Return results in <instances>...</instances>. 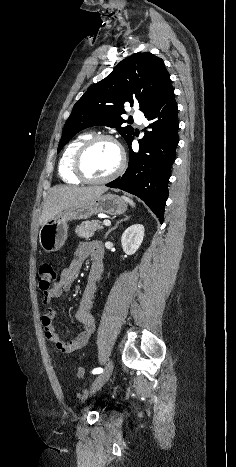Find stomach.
<instances>
[{"label": "stomach", "mask_w": 236, "mask_h": 467, "mask_svg": "<svg viewBox=\"0 0 236 467\" xmlns=\"http://www.w3.org/2000/svg\"><path fill=\"white\" fill-rule=\"evenodd\" d=\"M126 210V201L114 194H104L89 203L64 209L42 226L39 233L40 245L45 252H55L67 239L68 221L87 219L99 213L121 215Z\"/></svg>", "instance_id": "1"}]
</instances>
